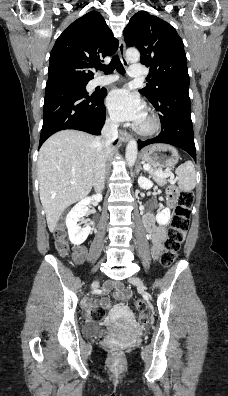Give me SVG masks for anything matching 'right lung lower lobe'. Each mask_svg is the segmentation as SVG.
<instances>
[{
	"mask_svg": "<svg viewBox=\"0 0 228 396\" xmlns=\"http://www.w3.org/2000/svg\"><path fill=\"white\" fill-rule=\"evenodd\" d=\"M106 90L88 95L70 86L46 87L39 147L52 134L65 129L100 135L106 111Z\"/></svg>",
	"mask_w": 228,
	"mask_h": 396,
	"instance_id": "right-lung-lower-lobe-1",
	"label": "right lung lower lobe"
}]
</instances>
